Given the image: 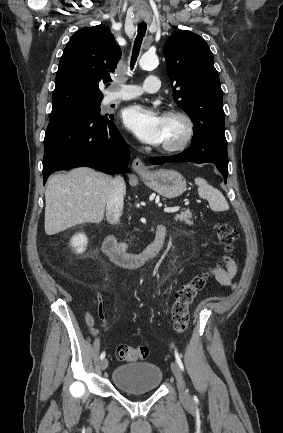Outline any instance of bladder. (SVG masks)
I'll return each instance as SVG.
<instances>
[{
	"mask_svg": "<svg viewBox=\"0 0 283 433\" xmlns=\"http://www.w3.org/2000/svg\"><path fill=\"white\" fill-rule=\"evenodd\" d=\"M162 371L154 363L137 362L115 369L113 383L122 392H148L160 387Z\"/></svg>",
	"mask_w": 283,
	"mask_h": 433,
	"instance_id": "obj_1",
	"label": "bladder"
}]
</instances>
